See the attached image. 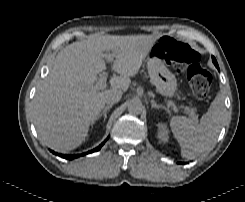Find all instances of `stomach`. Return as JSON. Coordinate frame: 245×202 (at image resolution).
<instances>
[{
  "label": "stomach",
  "instance_id": "0dacf381",
  "mask_svg": "<svg viewBox=\"0 0 245 202\" xmlns=\"http://www.w3.org/2000/svg\"><path fill=\"white\" fill-rule=\"evenodd\" d=\"M147 69L152 84L158 93L166 98H172L177 89L175 75L166 67L163 58L154 46L147 57Z\"/></svg>",
  "mask_w": 245,
  "mask_h": 202
}]
</instances>
